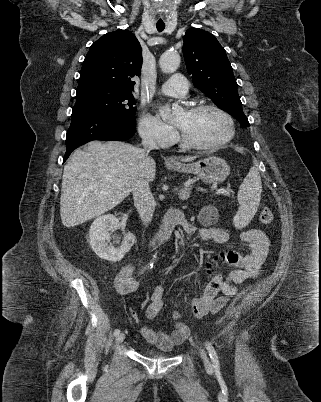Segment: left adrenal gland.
<instances>
[{"label":"left adrenal gland","instance_id":"left-adrenal-gland-1","mask_svg":"<svg viewBox=\"0 0 321 402\" xmlns=\"http://www.w3.org/2000/svg\"><path fill=\"white\" fill-rule=\"evenodd\" d=\"M191 188L185 187L180 189L178 195L181 200H187L190 197Z\"/></svg>","mask_w":321,"mask_h":402}]
</instances>
